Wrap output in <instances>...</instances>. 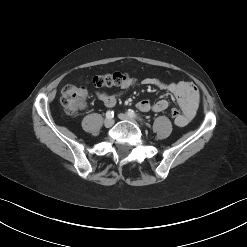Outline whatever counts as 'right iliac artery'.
<instances>
[{
	"mask_svg": "<svg viewBox=\"0 0 247 247\" xmlns=\"http://www.w3.org/2000/svg\"><path fill=\"white\" fill-rule=\"evenodd\" d=\"M113 116H114V112L113 111H107V113H106V117L107 118H113Z\"/></svg>",
	"mask_w": 247,
	"mask_h": 247,
	"instance_id": "obj_1",
	"label": "right iliac artery"
}]
</instances>
